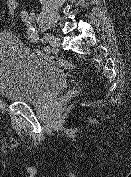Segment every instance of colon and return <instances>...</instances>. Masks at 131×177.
Segmentation results:
<instances>
[{
  "label": "colon",
  "instance_id": "colon-1",
  "mask_svg": "<svg viewBox=\"0 0 131 177\" xmlns=\"http://www.w3.org/2000/svg\"><path fill=\"white\" fill-rule=\"evenodd\" d=\"M2 2H3V7H2L3 13L7 16L11 25L13 27H16L18 24V16H19V9H20L19 1L18 0H2ZM32 51L38 56L42 57L43 59H45L46 61L54 65H57V66H60L62 68L69 69V70H73L77 68L76 64L70 61H67L65 59L41 53L39 50L35 48H32Z\"/></svg>",
  "mask_w": 131,
  "mask_h": 177
}]
</instances>
